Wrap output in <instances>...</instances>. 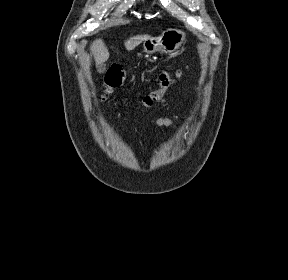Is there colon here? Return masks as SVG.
Instances as JSON below:
<instances>
[{
  "label": "colon",
  "mask_w": 288,
  "mask_h": 280,
  "mask_svg": "<svg viewBox=\"0 0 288 280\" xmlns=\"http://www.w3.org/2000/svg\"><path fill=\"white\" fill-rule=\"evenodd\" d=\"M175 76H179V72H176L175 75L167 71L162 72L160 75V87L146 95L142 100V104L146 107H152L158 103H162L166 91L174 82ZM123 77L124 74L121 68L117 66L111 67L105 77L106 93H111L114 89L119 87L123 82Z\"/></svg>",
  "instance_id": "1"
}]
</instances>
